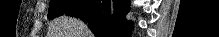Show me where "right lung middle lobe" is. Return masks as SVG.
Returning a JSON list of instances; mask_svg holds the SVG:
<instances>
[{
	"label": "right lung middle lobe",
	"mask_w": 219,
	"mask_h": 37,
	"mask_svg": "<svg viewBox=\"0 0 219 37\" xmlns=\"http://www.w3.org/2000/svg\"><path fill=\"white\" fill-rule=\"evenodd\" d=\"M83 0H51L48 10V19L64 15L70 9L80 4Z\"/></svg>",
	"instance_id": "right-lung-middle-lobe-1"
}]
</instances>
